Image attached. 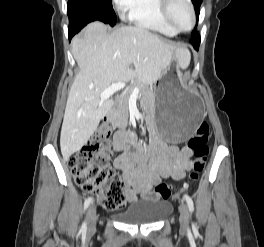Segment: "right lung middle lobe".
Listing matches in <instances>:
<instances>
[{
  "label": "right lung middle lobe",
  "instance_id": "1",
  "mask_svg": "<svg viewBox=\"0 0 264 247\" xmlns=\"http://www.w3.org/2000/svg\"><path fill=\"white\" fill-rule=\"evenodd\" d=\"M68 17L89 16L92 21H102L114 26L116 15L112 7V0H68Z\"/></svg>",
  "mask_w": 264,
  "mask_h": 247
}]
</instances>
